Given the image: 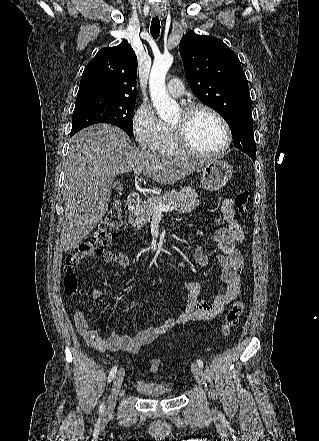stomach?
I'll use <instances>...</instances> for the list:
<instances>
[{"label": "stomach", "instance_id": "0dacf381", "mask_svg": "<svg viewBox=\"0 0 319 441\" xmlns=\"http://www.w3.org/2000/svg\"><path fill=\"white\" fill-rule=\"evenodd\" d=\"M232 172V167L225 161L210 160L203 168L202 188L209 191L223 188L232 177Z\"/></svg>", "mask_w": 319, "mask_h": 441}]
</instances>
